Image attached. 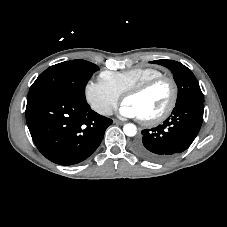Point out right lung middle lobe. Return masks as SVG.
Wrapping results in <instances>:
<instances>
[{
  "instance_id": "right-lung-middle-lobe-1",
  "label": "right lung middle lobe",
  "mask_w": 227,
  "mask_h": 227,
  "mask_svg": "<svg viewBox=\"0 0 227 227\" xmlns=\"http://www.w3.org/2000/svg\"><path fill=\"white\" fill-rule=\"evenodd\" d=\"M97 70V65L81 59L53 65L38 76L29 90L27 100L46 94L83 100L82 88Z\"/></svg>"
}]
</instances>
